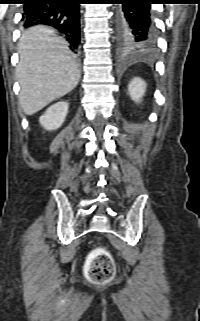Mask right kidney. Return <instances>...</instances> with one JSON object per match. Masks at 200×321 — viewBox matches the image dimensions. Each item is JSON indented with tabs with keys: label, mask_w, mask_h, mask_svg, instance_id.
Wrapping results in <instances>:
<instances>
[{
	"label": "right kidney",
	"mask_w": 200,
	"mask_h": 321,
	"mask_svg": "<svg viewBox=\"0 0 200 321\" xmlns=\"http://www.w3.org/2000/svg\"><path fill=\"white\" fill-rule=\"evenodd\" d=\"M69 105L60 101L50 106L40 117L39 122L46 130H56L63 124L68 113Z\"/></svg>",
	"instance_id": "right-kidney-1"
}]
</instances>
